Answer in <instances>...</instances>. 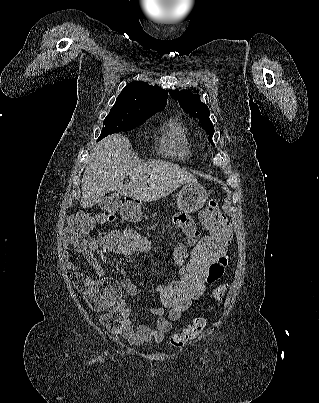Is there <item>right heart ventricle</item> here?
I'll return each mask as SVG.
<instances>
[{"label": "right heart ventricle", "instance_id": "e07e8e85", "mask_svg": "<svg viewBox=\"0 0 319 403\" xmlns=\"http://www.w3.org/2000/svg\"><path fill=\"white\" fill-rule=\"evenodd\" d=\"M160 152L164 155L186 158L192 152V143L186 125L179 118H172L162 127Z\"/></svg>", "mask_w": 319, "mask_h": 403}]
</instances>
